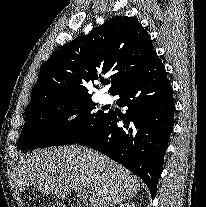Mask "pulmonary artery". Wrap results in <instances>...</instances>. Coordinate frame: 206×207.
<instances>
[{
    "mask_svg": "<svg viewBox=\"0 0 206 207\" xmlns=\"http://www.w3.org/2000/svg\"><path fill=\"white\" fill-rule=\"evenodd\" d=\"M100 100H101L102 103L107 104L111 101V96L107 93H104V94L101 95Z\"/></svg>",
    "mask_w": 206,
    "mask_h": 207,
    "instance_id": "e3ab8cb5",
    "label": "pulmonary artery"
}]
</instances>
